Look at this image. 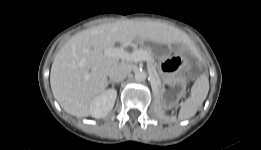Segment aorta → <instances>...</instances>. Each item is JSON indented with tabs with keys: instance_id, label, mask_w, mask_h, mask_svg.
I'll use <instances>...</instances> for the list:
<instances>
[{
	"instance_id": "1",
	"label": "aorta",
	"mask_w": 261,
	"mask_h": 150,
	"mask_svg": "<svg viewBox=\"0 0 261 150\" xmlns=\"http://www.w3.org/2000/svg\"><path fill=\"white\" fill-rule=\"evenodd\" d=\"M134 77L136 81L141 82L146 79L147 74L144 71H137Z\"/></svg>"
}]
</instances>
